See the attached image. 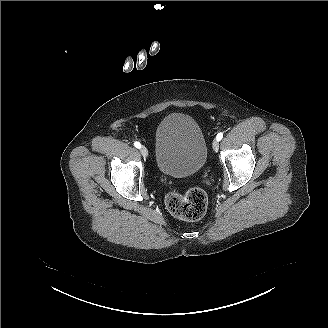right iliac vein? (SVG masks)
Returning a JSON list of instances; mask_svg holds the SVG:
<instances>
[{"mask_svg":"<svg viewBox=\"0 0 328 328\" xmlns=\"http://www.w3.org/2000/svg\"><path fill=\"white\" fill-rule=\"evenodd\" d=\"M140 153L142 154V156L145 158L148 156V150L145 146H141L140 147Z\"/></svg>","mask_w":328,"mask_h":328,"instance_id":"obj_1","label":"right iliac vein"}]
</instances>
